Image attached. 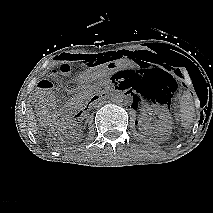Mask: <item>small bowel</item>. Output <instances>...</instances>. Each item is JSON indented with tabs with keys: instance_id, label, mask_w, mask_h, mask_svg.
Segmentation results:
<instances>
[{
	"instance_id": "1",
	"label": "small bowel",
	"mask_w": 213,
	"mask_h": 213,
	"mask_svg": "<svg viewBox=\"0 0 213 213\" xmlns=\"http://www.w3.org/2000/svg\"><path fill=\"white\" fill-rule=\"evenodd\" d=\"M114 78L116 79L118 85H123L126 81V76L124 74H116ZM153 102L155 103L156 100H154Z\"/></svg>"
}]
</instances>
